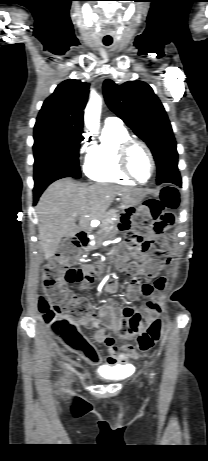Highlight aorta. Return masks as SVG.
Instances as JSON below:
<instances>
[{
	"label": "aorta",
	"instance_id": "obj_1",
	"mask_svg": "<svg viewBox=\"0 0 208 461\" xmlns=\"http://www.w3.org/2000/svg\"><path fill=\"white\" fill-rule=\"evenodd\" d=\"M102 98L95 92L91 93L84 113V123L88 130L97 133L100 128Z\"/></svg>",
	"mask_w": 208,
	"mask_h": 461
}]
</instances>
